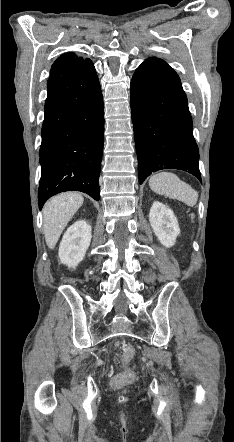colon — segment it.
<instances>
[{"instance_id": "obj_1", "label": "colon", "mask_w": 234, "mask_h": 442, "mask_svg": "<svg viewBox=\"0 0 234 442\" xmlns=\"http://www.w3.org/2000/svg\"><path fill=\"white\" fill-rule=\"evenodd\" d=\"M134 355L135 348L132 345L126 346L123 352V361L128 363ZM137 382V375H134L131 370L127 369L112 380L111 387L112 389H126L129 384H137Z\"/></svg>"}]
</instances>
